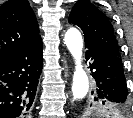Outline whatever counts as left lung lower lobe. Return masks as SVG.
Listing matches in <instances>:
<instances>
[{
    "instance_id": "1",
    "label": "left lung lower lobe",
    "mask_w": 133,
    "mask_h": 118,
    "mask_svg": "<svg viewBox=\"0 0 133 118\" xmlns=\"http://www.w3.org/2000/svg\"><path fill=\"white\" fill-rule=\"evenodd\" d=\"M85 48L86 59L90 61L89 68L93 71L92 76L96 82V89L92 94L94 93L97 100L127 105V86L122 60L90 42H85Z\"/></svg>"
}]
</instances>
